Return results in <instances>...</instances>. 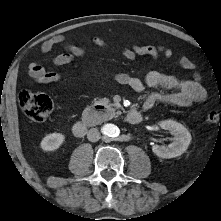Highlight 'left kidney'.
Masks as SVG:
<instances>
[{"instance_id": "obj_1", "label": "left kidney", "mask_w": 221, "mask_h": 221, "mask_svg": "<svg viewBox=\"0 0 221 221\" xmlns=\"http://www.w3.org/2000/svg\"><path fill=\"white\" fill-rule=\"evenodd\" d=\"M162 129L169 130L174 135L173 142L168 146L153 145L152 151L160 158H175L183 154L191 142V134L182 124L173 121L165 120L160 122Z\"/></svg>"}]
</instances>
